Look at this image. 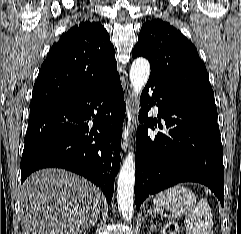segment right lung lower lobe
Returning a JSON list of instances; mask_svg holds the SVG:
<instances>
[{
	"label": "right lung lower lobe",
	"mask_w": 241,
	"mask_h": 234,
	"mask_svg": "<svg viewBox=\"0 0 241 234\" xmlns=\"http://www.w3.org/2000/svg\"><path fill=\"white\" fill-rule=\"evenodd\" d=\"M125 111L119 75L89 92L30 106L21 183L39 169L64 168L92 181L110 201Z\"/></svg>",
	"instance_id": "obj_1"
}]
</instances>
